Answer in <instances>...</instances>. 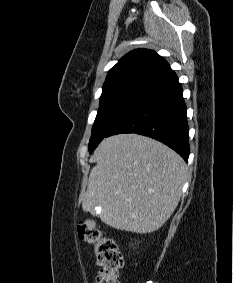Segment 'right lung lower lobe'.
Listing matches in <instances>:
<instances>
[{
    "label": "right lung lower lobe",
    "instance_id": "obj_1",
    "mask_svg": "<svg viewBox=\"0 0 233 283\" xmlns=\"http://www.w3.org/2000/svg\"><path fill=\"white\" fill-rule=\"evenodd\" d=\"M186 111L181 85L171 70L149 83L106 137L121 133L149 136L187 161L190 148Z\"/></svg>",
    "mask_w": 233,
    "mask_h": 283
}]
</instances>
